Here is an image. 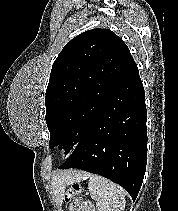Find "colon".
Returning a JSON list of instances; mask_svg holds the SVG:
<instances>
[{"label":"colon","mask_w":178,"mask_h":211,"mask_svg":"<svg viewBox=\"0 0 178 211\" xmlns=\"http://www.w3.org/2000/svg\"><path fill=\"white\" fill-rule=\"evenodd\" d=\"M82 191V186L79 183L71 185L70 189L64 194V200L67 203L70 211H75L76 196Z\"/></svg>","instance_id":"5ec220e1"}]
</instances>
